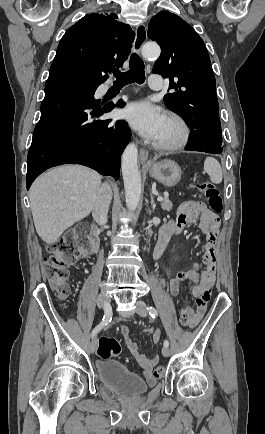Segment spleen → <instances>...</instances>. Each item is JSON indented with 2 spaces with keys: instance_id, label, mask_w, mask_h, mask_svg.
Listing matches in <instances>:
<instances>
[{
  "instance_id": "3e777b00",
  "label": "spleen",
  "mask_w": 265,
  "mask_h": 434,
  "mask_svg": "<svg viewBox=\"0 0 265 434\" xmlns=\"http://www.w3.org/2000/svg\"><path fill=\"white\" fill-rule=\"evenodd\" d=\"M204 170L209 174L213 184H220L222 182V170L219 162L215 158H206L204 162Z\"/></svg>"
}]
</instances>
